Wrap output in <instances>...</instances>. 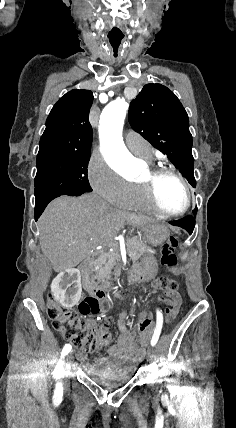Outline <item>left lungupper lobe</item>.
Listing matches in <instances>:
<instances>
[{
    "label": "left lung upper lobe",
    "instance_id": "left-lung-upper-lobe-1",
    "mask_svg": "<svg viewBox=\"0 0 236 428\" xmlns=\"http://www.w3.org/2000/svg\"><path fill=\"white\" fill-rule=\"evenodd\" d=\"M128 117L131 127L166 154L196 187L188 115L177 96L161 84H146L132 100Z\"/></svg>",
    "mask_w": 236,
    "mask_h": 428
}]
</instances>
